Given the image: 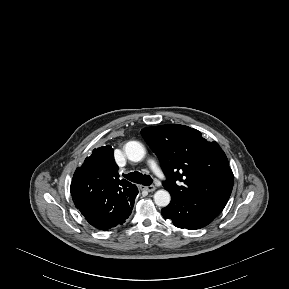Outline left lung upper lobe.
<instances>
[{
  "label": "left lung upper lobe",
  "mask_w": 289,
  "mask_h": 289,
  "mask_svg": "<svg viewBox=\"0 0 289 289\" xmlns=\"http://www.w3.org/2000/svg\"><path fill=\"white\" fill-rule=\"evenodd\" d=\"M141 134L158 156L167 176L163 186L172 196L191 197L223 210L234 176L217 142H209L198 130L179 124L147 127Z\"/></svg>",
  "instance_id": "5c2ea615"
}]
</instances>
